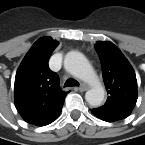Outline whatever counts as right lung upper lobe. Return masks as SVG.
<instances>
[{
	"mask_svg": "<svg viewBox=\"0 0 145 145\" xmlns=\"http://www.w3.org/2000/svg\"><path fill=\"white\" fill-rule=\"evenodd\" d=\"M58 44L51 37L37 40L16 73V108L26 122L37 126L47 125L59 116L67 95L58 86L57 74L48 67Z\"/></svg>",
	"mask_w": 145,
	"mask_h": 145,
	"instance_id": "obj_1",
	"label": "right lung upper lobe"
}]
</instances>
